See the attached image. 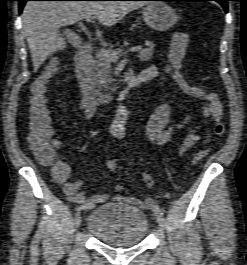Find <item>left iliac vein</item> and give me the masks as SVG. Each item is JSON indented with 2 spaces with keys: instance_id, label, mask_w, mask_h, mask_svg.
<instances>
[{
  "instance_id": "left-iliac-vein-1",
  "label": "left iliac vein",
  "mask_w": 247,
  "mask_h": 265,
  "mask_svg": "<svg viewBox=\"0 0 247 265\" xmlns=\"http://www.w3.org/2000/svg\"><path fill=\"white\" fill-rule=\"evenodd\" d=\"M157 218V222L160 228H164L165 227V220L162 216L156 215Z\"/></svg>"
}]
</instances>
